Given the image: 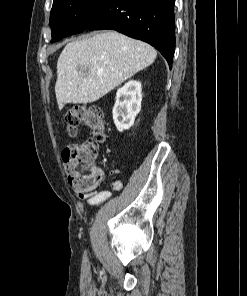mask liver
<instances>
[{"instance_id": "liver-1", "label": "liver", "mask_w": 247, "mask_h": 296, "mask_svg": "<svg viewBox=\"0 0 247 296\" xmlns=\"http://www.w3.org/2000/svg\"><path fill=\"white\" fill-rule=\"evenodd\" d=\"M157 57L149 44L116 31H104L68 43L57 61L55 94L67 103H91L151 65Z\"/></svg>"}]
</instances>
